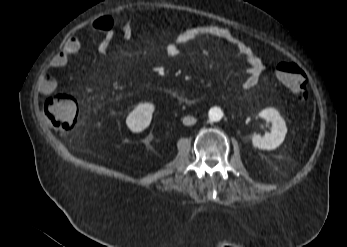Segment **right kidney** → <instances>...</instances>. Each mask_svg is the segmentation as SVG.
Returning <instances> with one entry per match:
<instances>
[{
  "mask_svg": "<svg viewBox=\"0 0 347 247\" xmlns=\"http://www.w3.org/2000/svg\"><path fill=\"white\" fill-rule=\"evenodd\" d=\"M154 108L151 103H142L136 106L126 119L128 128L132 132H141L147 128L151 122Z\"/></svg>",
  "mask_w": 347,
  "mask_h": 247,
  "instance_id": "ca27d5eb",
  "label": "right kidney"
}]
</instances>
